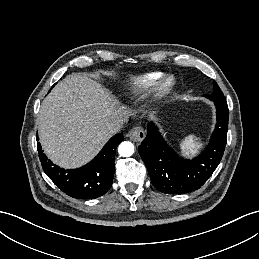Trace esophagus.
Instances as JSON below:
<instances>
[{"label":"esophagus","instance_id":"34e87169","mask_svg":"<svg viewBox=\"0 0 259 259\" xmlns=\"http://www.w3.org/2000/svg\"><path fill=\"white\" fill-rule=\"evenodd\" d=\"M132 141L140 143L145 138V131L142 126L132 128L127 135Z\"/></svg>","mask_w":259,"mask_h":259}]
</instances>
